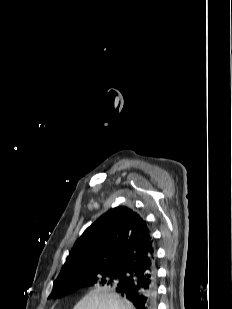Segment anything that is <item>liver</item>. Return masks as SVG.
Returning <instances> with one entry per match:
<instances>
[{
  "label": "liver",
  "instance_id": "obj_1",
  "mask_svg": "<svg viewBox=\"0 0 232 309\" xmlns=\"http://www.w3.org/2000/svg\"><path fill=\"white\" fill-rule=\"evenodd\" d=\"M73 309H135L126 299H122L109 288H97L84 296Z\"/></svg>",
  "mask_w": 232,
  "mask_h": 309
}]
</instances>
